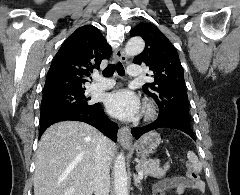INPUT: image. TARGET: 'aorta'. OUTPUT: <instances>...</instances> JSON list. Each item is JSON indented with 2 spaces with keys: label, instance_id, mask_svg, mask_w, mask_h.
Here are the masks:
<instances>
[{
  "label": "aorta",
  "instance_id": "aorta-1",
  "mask_svg": "<svg viewBox=\"0 0 240 195\" xmlns=\"http://www.w3.org/2000/svg\"><path fill=\"white\" fill-rule=\"evenodd\" d=\"M145 48L142 38H131L124 48L125 56H138ZM114 189L116 195H129L125 155L119 153L114 165Z\"/></svg>",
  "mask_w": 240,
  "mask_h": 195
}]
</instances>
